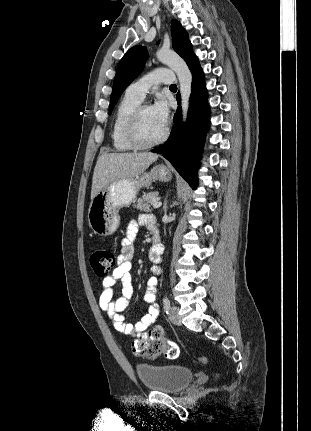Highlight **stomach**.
Returning a JSON list of instances; mask_svg holds the SVG:
<instances>
[{"label":"stomach","instance_id":"stomach-1","mask_svg":"<svg viewBox=\"0 0 311 431\" xmlns=\"http://www.w3.org/2000/svg\"><path fill=\"white\" fill-rule=\"evenodd\" d=\"M170 182L172 172L159 164L138 178L118 180L102 188L91 200L88 210V225L97 235H112L120 225L119 210L131 206L141 190L150 188L152 182Z\"/></svg>","mask_w":311,"mask_h":431}]
</instances>
